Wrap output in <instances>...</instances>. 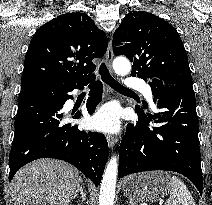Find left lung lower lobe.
<instances>
[{
  "mask_svg": "<svg viewBox=\"0 0 212 205\" xmlns=\"http://www.w3.org/2000/svg\"><path fill=\"white\" fill-rule=\"evenodd\" d=\"M152 88L158 111L151 114L136 106V124H128L120 145L118 177L166 170L178 172L202 195L203 179L198 141V117L193 87L144 79ZM158 124L149 127V123Z\"/></svg>",
  "mask_w": 212,
  "mask_h": 205,
  "instance_id": "1",
  "label": "left lung lower lobe"
}]
</instances>
